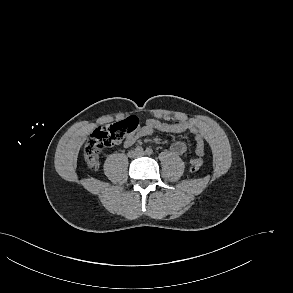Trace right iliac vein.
<instances>
[{"label": "right iliac vein", "mask_w": 293, "mask_h": 293, "mask_svg": "<svg viewBox=\"0 0 293 293\" xmlns=\"http://www.w3.org/2000/svg\"><path fill=\"white\" fill-rule=\"evenodd\" d=\"M137 155H138L137 152H131V153H130V156L133 157V158L136 157Z\"/></svg>", "instance_id": "63e3f726"}]
</instances>
